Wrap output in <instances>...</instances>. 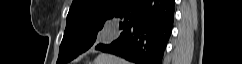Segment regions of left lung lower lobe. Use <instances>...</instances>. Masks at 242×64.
I'll use <instances>...</instances> for the list:
<instances>
[{
	"label": "left lung lower lobe",
	"mask_w": 242,
	"mask_h": 64,
	"mask_svg": "<svg viewBox=\"0 0 242 64\" xmlns=\"http://www.w3.org/2000/svg\"><path fill=\"white\" fill-rule=\"evenodd\" d=\"M174 0H129L113 16L120 36L95 49L136 64H162L174 22Z\"/></svg>",
	"instance_id": "obj_1"
}]
</instances>
